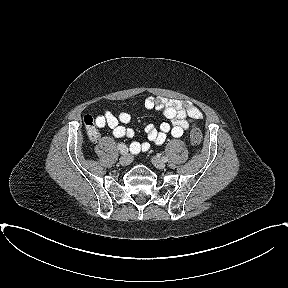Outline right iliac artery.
<instances>
[{
	"label": "right iliac artery",
	"mask_w": 288,
	"mask_h": 288,
	"mask_svg": "<svg viewBox=\"0 0 288 288\" xmlns=\"http://www.w3.org/2000/svg\"><path fill=\"white\" fill-rule=\"evenodd\" d=\"M118 150L121 152L122 150H128V148L126 147V145L119 143L118 144Z\"/></svg>",
	"instance_id": "1"
}]
</instances>
